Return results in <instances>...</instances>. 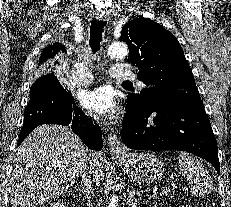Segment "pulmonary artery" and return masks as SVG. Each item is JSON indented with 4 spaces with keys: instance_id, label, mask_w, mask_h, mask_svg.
Returning a JSON list of instances; mask_svg holds the SVG:
<instances>
[{
    "instance_id": "1",
    "label": "pulmonary artery",
    "mask_w": 231,
    "mask_h": 207,
    "mask_svg": "<svg viewBox=\"0 0 231 207\" xmlns=\"http://www.w3.org/2000/svg\"><path fill=\"white\" fill-rule=\"evenodd\" d=\"M110 74L113 78L118 80H134L136 78L135 74L128 66L119 64L114 65L110 69ZM71 79L74 84L82 86L90 84L93 80V76L86 67L79 66L71 75Z\"/></svg>"
}]
</instances>
